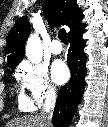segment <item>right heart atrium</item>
<instances>
[{
  "instance_id": "obj_1",
  "label": "right heart atrium",
  "mask_w": 108,
  "mask_h": 127,
  "mask_svg": "<svg viewBox=\"0 0 108 127\" xmlns=\"http://www.w3.org/2000/svg\"><path fill=\"white\" fill-rule=\"evenodd\" d=\"M16 76L22 87L27 91L28 99L33 105L40 106L56 97V87L50 80L45 67L23 62L18 67Z\"/></svg>"
}]
</instances>
